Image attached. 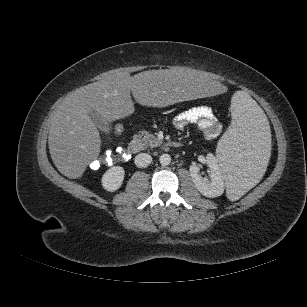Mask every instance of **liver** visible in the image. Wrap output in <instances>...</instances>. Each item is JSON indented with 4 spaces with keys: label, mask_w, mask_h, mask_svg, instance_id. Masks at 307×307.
<instances>
[{
    "label": "liver",
    "mask_w": 307,
    "mask_h": 307,
    "mask_svg": "<svg viewBox=\"0 0 307 307\" xmlns=\"http://www.w3.org/2000/svg\"><path fill=\"white\" fill-rule=\"evenodd\" d=\"M224 85L203 71L184 67L151 70L130 76L110 74L71 92L55 111L48 146L53 163L70 179L80 178L101 150L100 133L92 110L112 122L134 112L135 101L148 107H166L204 95L224 92Z\"/></svg>",
    "instance_id": "liver-1"
}]
</instances>
